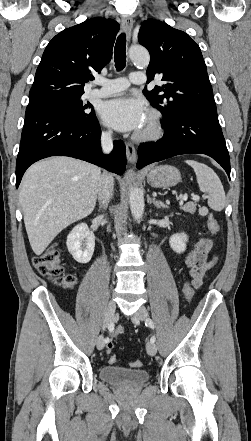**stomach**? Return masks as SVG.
Instances as JSON below:
<instances>
[{"instance_id":"obj_1","label":"stomach","mask_w":251,"mask_h":441,"mask_svg":"<svg viewBox=\"0 0 251 441\" xmlns=\"http://www.w3.org/2000/svg\"><path fill=\"white\" fill-rule=\"evenodd\" d=\"M180 179V171L171 165H160L153 167L147 175L148 183L154 188L175 186Z\"/></svg>"}]
</instances>
